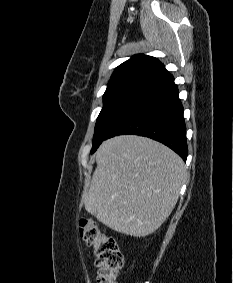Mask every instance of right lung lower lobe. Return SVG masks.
I'll list each match as a JSON object with an SVG mask.
<instances>
[{"label": "right lung lower lobe", "instance_id": "obj_1", "mask_svg": "<svg viewBox=\"0 0 233 283\" xmlns=\"http://www.w3.org/2000/svg\"><path fill=\"white\" fill-rule=\"evenodd\" d=\"M125 134L157 140L185 161L186 125L178 89L170 73L153 80L110 129L106 139Z\"/></svg>", "mask_w": 233, "mask_h": 283}]
</instances>
